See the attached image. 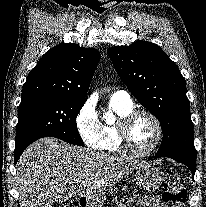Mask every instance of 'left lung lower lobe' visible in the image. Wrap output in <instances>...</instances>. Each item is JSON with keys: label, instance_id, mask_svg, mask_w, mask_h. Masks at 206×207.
Here are the masks:
<instances>
[{"label": "left lung lower lobe", "instance_id": "obj_1", "mask_svg": "<svg viewBox=\"0 0 206 207\" xmlns=\"http://www.w3.org/2000/svg\"><path fill=\"white\" fill-rule=\"evenodd\" d=\"M169 158H172L182 164H185L187 165L191 172H192V177L194 178V174H195V171H196V161H193V160H188V159H182V158H176V157H169Z\"/></svg>", "mask_w": 206, "mask_h": 207}]
</instances>
